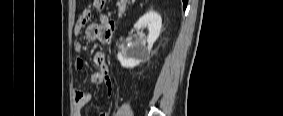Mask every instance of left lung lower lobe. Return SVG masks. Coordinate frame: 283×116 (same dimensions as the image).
I'll return each instance as SVG.
<instances>
[{"mask_svg":"<svg viewBox=\"0 0 283 116\" xmlns=\"http://www.w3.org/2000/svg\"><path fill=\"white\" fill-rule=\"evenodd\" d=\"M187 2H188V0H183L184 8H186Z\"/></svg>","mask_w":283,"mask_h":116,"instance_id":"left-lung-lower-lobe-1","label":"left lung lower lobe"}]
</instances>
